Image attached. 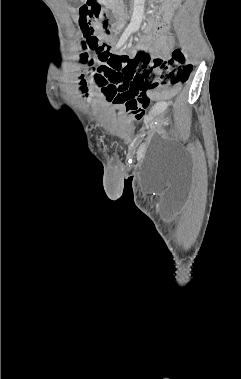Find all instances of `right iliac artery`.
Listing matches in <instances>:
<instances>
[{"instance_id":"1","label":"right iliac artery","mask_w":241,"mask_h":379,"mask_svg":"<svg viewBox=\"0 0 241 379\" xmlns=\"http://www.w3.org/2000/svg\"><path fill=\"white\" fill-rule=\"evenodd\" d=\"M133 29L132 28H126V30L124 31V33L122 34L118 44H117V48L121 47L124 42L128 39V37L130 36V34L132 33Z\"/></svg>"}]
</instances>
